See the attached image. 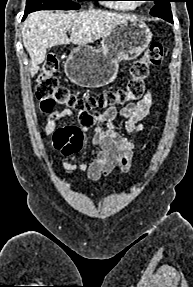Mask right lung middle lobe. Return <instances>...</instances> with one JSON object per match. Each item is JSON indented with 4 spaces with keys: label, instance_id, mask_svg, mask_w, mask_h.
I'll use <instances>...</instances> for the list:
<instances>
[{
    "label": "right lung middle lobe",
    "instance_id": "dd1d6c3e",
    "mask_svg": "<svg viewBox=\"0 0 193 287\" xmlns=\"http://www.w3.org/2000/svg\"><path fill=\"white\" fill-rule=\"evenodd\" d=\"M94 1V0H78ZM77 10L79 5L72 0H27L25 12L30 13L38 10Z\"/></svg>",
    "mask_w": 193,
    "mask_h": 287
}]
</instances>
